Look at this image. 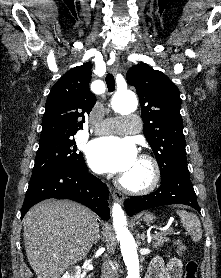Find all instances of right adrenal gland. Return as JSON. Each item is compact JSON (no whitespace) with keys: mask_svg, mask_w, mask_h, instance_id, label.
Segmentation results:
<instances>
[{"mask_svg":"<svg viewBox=\"0 0 221 278\" xmlns=\"http://www.w3.org/2000/svg\"><path fill=\"white\" fill-rule=\"evenodd\" d=\"M98 240H100L99 229L97 230V233H96V235L94 237L93 243L96 245Z\"/></svg>","mask_w":221,"mask_h":278,"instance_id":"right-adrenal-gland-1","label":"right adrenal gland"}]
</instances>
